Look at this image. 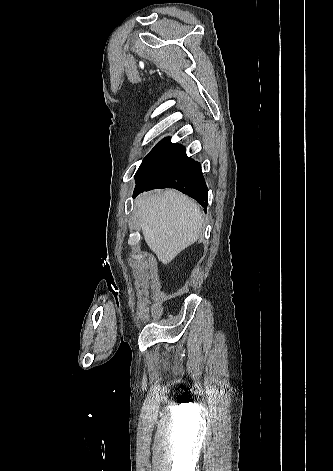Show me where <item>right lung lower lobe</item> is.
<instances>
[{
	"label": "right lung lower lobe",
	"instance_id": "1",
	"mask_svg": "<svg viewBox=\"0 0 333 471\" xmlns=\"http://www.w3.org/2000/svg\"><path fill=\"white\" fill-rule=\"evenodd\" d=\"M133 196L156 188H175L194 198L206 211L208 189L199 162L187 157L185 147L162 139L144 158L135 175Z\"/></svg>",
	"mask_w": 333,
	"mask_h": 471
}]
</instances>
